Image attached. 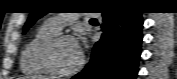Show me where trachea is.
I'll return each instance as SVG.
<instances>
[{
    "mask_svg": "<svg viewBox=\"0 0 177 79\" xmlns=\"http://www.w3.org/2000/svg\"><path fill=\"white\" fill-rule=\"evenodd\" d=\"M92 21H96V19H91Z\"/></svg>",
    "mask_w": 177,
    "mask_h": 79,
    "instance_id": "3493384b",
    "label": "trachea"
}]
</instances>
